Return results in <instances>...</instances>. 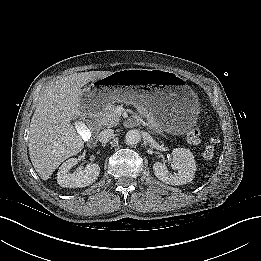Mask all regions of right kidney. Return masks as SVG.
<instances>
[{
    "instance_id": "1",
    "label": "right kidney",
    "mask_w": 261,
    "mask_h": 261,
    "mask_svg": "<svg viewBox=\"0 0 261 261\" xmlns=\"http://www.w3.org/2000/svg\"><path fill=\"white\" fill-rule=\"evenodd\" d=\"M82 127L86 128L85 125ZM77 163V158H70L59 167L57 173V183L61 187L81 188L89 186L96 181L100 173V167L98 164L90 163L83 170L79 169L71 173V168Z\"/></svg>"
}]
</instances>
